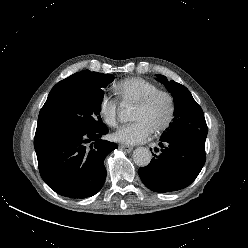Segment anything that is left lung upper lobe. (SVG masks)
Masks as SVG:
<instances>
[{
  "mask_svg": "<svg viewBox=\"0 0 248 248\" xmlns=\"http://www.w3.org/2000/svg\"><path fill=\"white\" fill-rule=\"evenodd\" d=\"M157 80L165 85L175 103L173 122L163 132L161 138L182 134L205 140L208 128L204 114L189 90L173 80L168 81L163 75H157Z\"/></svg>",
  "mask_w": 248,
  "mask_h": 248,
  "instance_id": "left-lung-upper-lobe-1",
  "label": "left lung upper lobe"
}]
</instances>
